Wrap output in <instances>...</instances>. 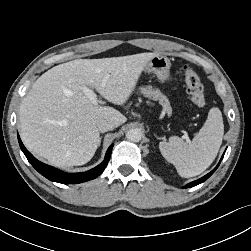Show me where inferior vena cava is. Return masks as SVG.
I'll return each instance as SVG.
<instances>
[{"label": "inferior vena cava", "mask_w": 251, "mask_h": 251, "mask_svg": "<svg viewBox=\"0 0 251 251\" xmlns=\"http://www.w3.org/2000/svg\"><path fill=\"white\" fill-rule=\"evenodd\" d=\"M114 124L106 119H99L97 121V128L101 133L114 129Z\"/></svg>", "instance_id": "602c4592"}]
</instances>
